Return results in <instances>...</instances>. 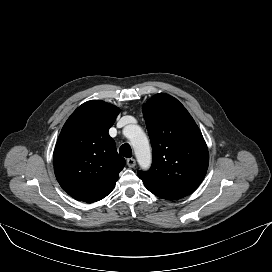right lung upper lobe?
<instances>
[{
  "label": "right lung upper lobe",
  "instance_id": "1",
  "mask_svg": "<svg viewBox=\"0 0 272 272\" xmlns=\"http://www.w3.org/2000/svg\"><path fill=\"white\" fill-rule=\"evenodd\" d=\"M118 114L116 106L92 100L64 124L54 150V172L74 199L92 203L113 190L126 163L108 134Z\"/></svg>",
  "mask_w": 272,
  "mask_h": 272
}]
</instances>
